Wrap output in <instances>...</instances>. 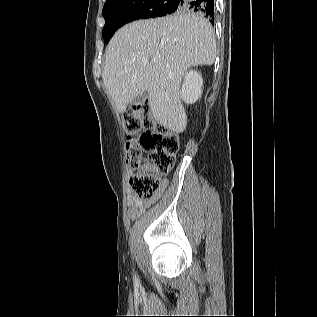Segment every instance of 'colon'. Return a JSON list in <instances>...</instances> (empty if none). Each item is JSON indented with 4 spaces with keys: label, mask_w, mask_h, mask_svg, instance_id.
I'll list each match as a JSON object with an SVG mask.
<instances>
[{
    "label": "colon",
    "mask_w": 317,
    "mask_h": 317,
    "mask_svg": "<svg viewBox=\"0 0 317 317\" xmlns=\"http://www.w3.org/2000/svg\"><path fill=\"white\" fill-rule=\"evenodd\" d=\"M127 165L136 171L130 178L134 195L152 200L162 186L161 177L174 166L179 149L177 134L154 123L146 105H134L124 115Z\"/></svg>",
    "instance_id": "1"
}]
</instances>
